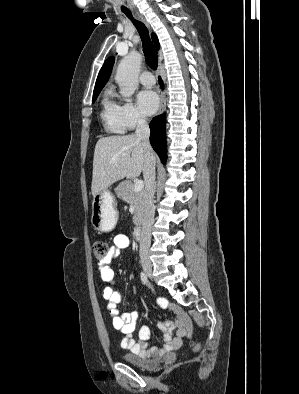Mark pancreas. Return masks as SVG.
Instances as JSON below:
<instances>
[{"mask_svg":"<svg viewBox=\"0 0 299 394\" xmlns=\"http://www.w3.org/2000/svg\"><path fill=\"white\" fill-rule=\"evenodd\" d=\"M134 184L129 181H123L119 184L116 189L117 196L122 198L127 203H133L134 205V216H133V223L138 225L143 212V205H144V192H134L133 191Z\"/></svg>","mask_w":299,"mask_h":394,"instance_id":"pancreas-1","label":"pancreas"}]
</instances>
